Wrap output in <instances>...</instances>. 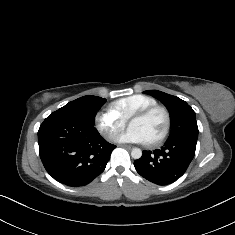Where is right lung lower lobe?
Segmentation results:
<instances>
[{
	"instance_id": "right-lung-lower-lobe-1",
	"label": "right lung lower lobe",
	"mask_w": 235,
	"mask_h": 235,
	"mask_svg": "<svg viewBox=\"0 0 235 235\" xmlns=\"http://www.w3.org/2000/svg\"><path fill=\"white\" fill-rule=\"evenodd\" d=\"M41 161L51 177L68 186H84L100 175L115 145L94 125L52 113L38 131Z\"/></svg>"
}]
</instances>
